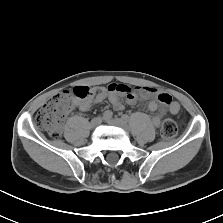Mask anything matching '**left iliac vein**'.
<instances>
[{
    "instance_id": "left-iliac-vein-1",
    "label": "left iliac vein",
    "mask_w": 223,
    "mask_h": 223,
    "mask_svg": "<svg viewBox=\"0 0 223 223\" xmlns=\"http://www.w3.org/2000/svg\"><path fill=\"white\" fill-rule=\"evenodd\" d=\"M107 122L111 125H115L118 126L120 128H123L125 130H128V124L124 119H120V118H113V119H109L107 120Z\"/></svg>"
}]
</instances>
